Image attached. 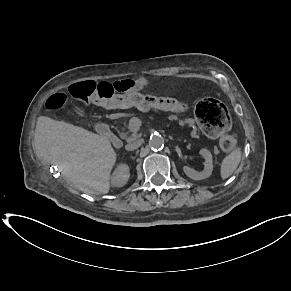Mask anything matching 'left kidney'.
Here are the masks:
<instances>
[{"instance_id":"1","label":"left kidney","mask_w":291,"mask_h":291,"mask_svg":"<svg viewBox=\"0 0 291 291\" xmlns=\"http://www.w3.org/2000/svg\"><path fill=\"white\" fill-rule=\"evenodd\" d=\"M204 158V170L197 172L196 170L189 168L187 166L183 167L184 173L193 180H202L210 177L213 170L212 154L207 149H201L199 152Z\"/></svg>"}]
</instances>
